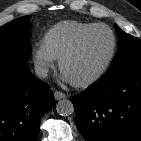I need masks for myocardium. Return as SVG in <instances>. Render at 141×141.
<instances>
[{
  "instance_id": "myocardium-1",
  "label": "myocardium",
  "mask_w": 141,
  "mask_h": 141,
  "mask_svg": "<svg viewBox=\"0 0 141 141\" xmlns=\"http://www.w3.org/2000/svg\"><path fill=\"white\" fill-rule=\"evenodd\" d=\"M99 28H103L106 29L109 34L111 35L112 38V47L110 50V53L106 59V61L104 62V64L91 76L82 79V80H78V81H71L70 83L77 88H86L89 87L91 85H93L94 83H96L98 80H100L105 73L108 71L109 67L111 66L114 57L116 55V51H117V37L114 33V31L106 24L103 23H96L90 27H88L87 29H85L75 40L74 42L69 46V48L61 55V57L59 58V69L60 71L63 73V69H64V65L66 63V61L73 56L77 50L80 48L82 42L84 41V39L94 30L99 29Z\"/></svg>"
}]
</instances>
